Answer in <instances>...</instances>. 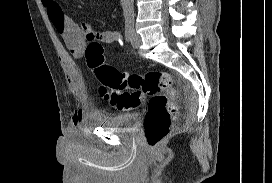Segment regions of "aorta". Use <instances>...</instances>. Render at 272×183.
<instances>
[{"label": "aorta", "instance_id": "762f6f07", "mask_svg": "<svg viewBox=\"0 0 272 183\" xmlns=\"http://www.w3.org/2000/svg\"><path fill=\"white\" fill-rule=\"evenodd\" d=\"M121 5L123 9L125 23L132 24L135 17L133 0H121Z\"/></svg>", "mask_w": 272, "mask_h": 183}]
</instances>
